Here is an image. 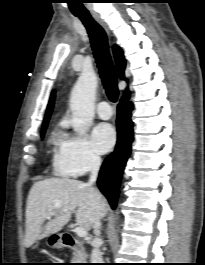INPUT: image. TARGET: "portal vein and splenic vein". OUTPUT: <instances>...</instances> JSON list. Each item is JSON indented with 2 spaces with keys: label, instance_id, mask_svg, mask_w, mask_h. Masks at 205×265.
Here are the masks:
<instances>
[{
  "label": "portal vein and splenic vein",
  "instance_id": "obj_1",
  "mask_svg": "<svg viewBox=\"0 0 205 265\" xmlns=\"http://www.w3.org/2000/svg\"><path fill=\"white\" fill-rule=\"evenodd\" d=\"M52 215L54 214H51L50 216H48V219H50L52 217ZM75 232L77 234V236L83 238V237H86L87 236V230L84 229L83 227H76L75 228Z\"/></svg>",
  "mask_w": 205,
  "mask_h": 265
}]
</instances>
